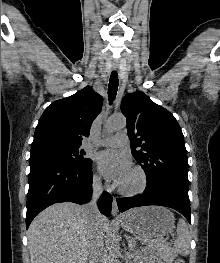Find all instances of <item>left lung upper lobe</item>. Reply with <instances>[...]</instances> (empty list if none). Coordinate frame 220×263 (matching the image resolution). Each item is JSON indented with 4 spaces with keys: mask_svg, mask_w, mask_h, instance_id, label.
<instances>
[{
    "mask_svg": "<svg viewBox=\"0 0 220 263\" xmlns=\"http://www.w3.org/2000/svg\"><path fill=\"white\" fill-rule=\"evenodd\" d=\"M121 111L127 119L132 155L147 184L170 180L188 187L187 151L175 117L140 91L123 98Z\"/></svg>",
    "mask_w": 220,
    "mask_h": 263,
    "instance_id": "obj_1",
    "label": "left lung upper lobe"
}]
</instances>
